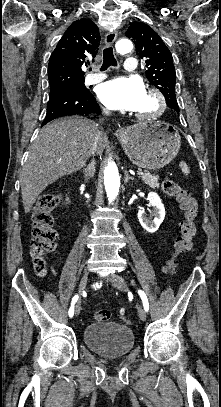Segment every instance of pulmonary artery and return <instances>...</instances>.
<instances>
[{
	"label": "pulmonary artery",
	"instance_id": "1",
	"mask_svg": "<svg viewBox=\"0 0 221 407\" xmlns=\"http://www.w3.org/2000/svg\"><path fill=\"white\" fill-rule=\"evenodd\" d=\"M124 70L125 73L131 74L136 72L137 64L133 56H128L124 61ZM106 78L104 74H92L87 78V82L90 84L98 83Z\"/></svg>",
	"mask_w": 221,
	"mask_h": 407
}]
</instances>
